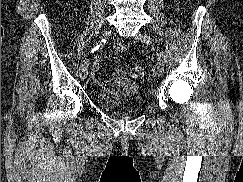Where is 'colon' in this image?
Instances as JSON below:
<instances>
[{"label":"colon","instance_id":"5ec220e1","mask_svg":"<svg viewBox=\"0 0 243 182\" xmlns=\"http://www.w3.org/2000/svg\"><path fill=\"white\" fill-rule=\"evenodd\" d=\"M130 74L133 78L140 79L144 76V70L140 66H134L130 69Z\"/></svg>","mask_w":243,"mask_h":182}]
</instances>
